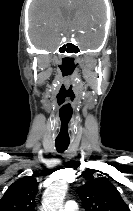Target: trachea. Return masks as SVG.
Masks as SVG:
<instances>
[{
  "instance_id": "1",
  "label": "trachea",
  "mask_w": 133,
  "mask_h": 211,
  "mask_svg": "<svg viewBox=\"0 0 133 211\" xmlns=\"http://www.w3.org/2000/svg\"><path fill=\"white\" fill-rule=\"evenodd\" d=\"M69 141H60V140H56L55 141V146L58 152L62 153L64 152L68 146H69Z\"/></svg>"
}]
</instances>
